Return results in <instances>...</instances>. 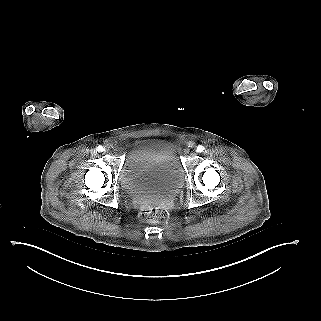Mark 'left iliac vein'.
Masks as SVG:
<instances>
[{
  "instance_id": "left-iliac-vein-1",
  "label": "left iliac vein",
  "mask_w": 321,
  "mask_h": 321,
  "mask_svg": "<svg viewBox=\"0 0 321 321\" xmlns=\"http://www.w3.org/2000/svg\"><path fill=\"white\" fill-rule=\"evenodd\" d=\"M192 155H193V156H195V155H196V153H193Z\"/></svg>"
}]
</instances>
